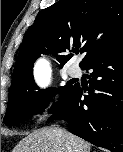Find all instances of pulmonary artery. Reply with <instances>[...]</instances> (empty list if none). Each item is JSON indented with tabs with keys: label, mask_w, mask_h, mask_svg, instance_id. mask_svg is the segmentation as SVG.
<instances>
[{
	"label": "pulmonary artery",
	"mask_w": 123,
	"mask_h": 152,
	"mask_svg": "<svg viewBox=\"0 0 123 152\" xmlns=\"http://www.w3.org/2000/svg\"><path fill=\"white\" fill-rule=\"evenodd\" d=\"M68 73L72 77H78L81 74V70L77 64H73L69 70Z\"/></svg>",
	"instance_id": "1"
}]
</instances>
